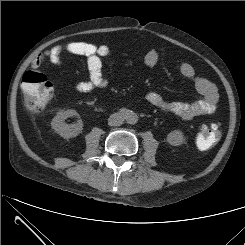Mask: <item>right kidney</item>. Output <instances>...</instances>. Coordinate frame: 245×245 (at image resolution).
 <instances>
[{
    "label": "right kidney",
    "instance_id": "obj_1",
    "mask_svg": "<svg viewBox=\"0 0 245 245\" xmlns=\"http://www.w3.org/2000/svg\"><path fill=\"white\" fill-rule=\"evenodd\" d=\"M78 115L77 112L73 109H68L65 111H60L52 119L51 126L54 131L59 134L64 139H70L76 137L83 130V123L79 120L76 124H66L64 120L68 117Z\"/></svg>",
    "mask_w": 245,
    "mask_h": 245
}]
</instances>
